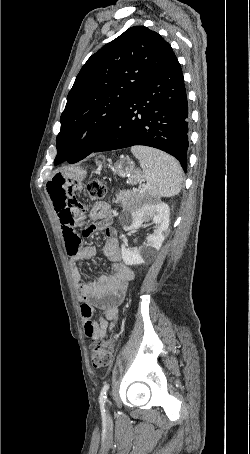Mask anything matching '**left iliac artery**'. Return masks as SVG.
<instances>
[{
	"instance_id": "1",
	"label": "left iliac artery",
	"mask_w": 250,
	"mask_h": 454,
	"mask_svg": "<svg viewBox=\"0 0 250 454\" xmlns=\"http://www.w3.org/2000/svg\"><path fill=\"white\" fill-rule=\"evenodd\" d=\"M109 390V384L106 383L101 389L100 396H99V402L100 404H105L106 399H107V392Z\"/></svg>"
}]
</instances>
